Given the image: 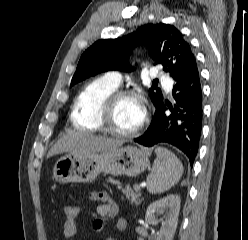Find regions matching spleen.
I'll return each instance as SVG.
<instances>
[{"label":"spleen","instance_id":"3e777b00","mask_svg":"<svg viewBox=\"0 0 248 240\" xmlns=\"http://www.w3.org/2000/svg\"><path fill=\"white\" fill-rule=\"evenodd\" d=\"M157 155L151 173L147 176V190L151 194L163 193L177 184L183 173L179 159L164 147L155 148Z\"/></svg>","mask_w":248,"mask_h":240}]
</instances>
